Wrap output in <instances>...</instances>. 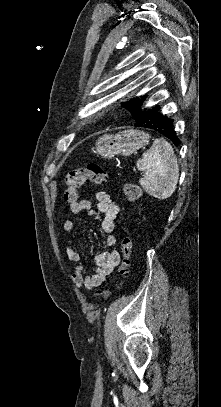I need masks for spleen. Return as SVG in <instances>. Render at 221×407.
I'll use <instances>...</instances> for the list:
<instances>
[{
  "mask_svg": "<svg viewBox=\"0 0 221 407\" xmlns=\"http://www.w3.org/2000/svg\"><path fill=\"white\" fill-rule=\"evenodd\" d=\"M136 165L145 172L139 184L146 193L157 199H167L173 194L179 179V165L172 146L164 138L155 139Z\"/></svg>",
  "mask_w": 221,
  "mask_h": 407,
  "instance_id": "obj_1",
  "label": "spleen"
}]
</instances>
